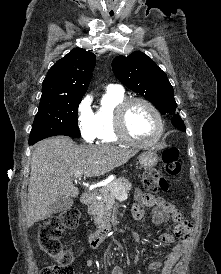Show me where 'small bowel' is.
<instances>
[{
	"label": "small bowel",
	"mask_w": 221,
	"mask_h": 274,
	"mask_svg": "<svg viewBox=\"0 0 221 274\" xmlns=\"http://www.w3.org/2000/svg\"><path fill=\"white\" fill-rule=\"evenodd\" d=\"M135 203L132 206L131 213L135 219H142L145 215L146 209H152V221L154 224L159 225L168 220H172L175 224L174 233H163L160 236V241L164 244H171L177 240L176 245L171 252L165 255L164 260L153 261L149 264V269L156 271L161 269L160 274H171L173 267L183 255L186 245L188 244L191 232L190 223L184 219L182 213L172 204L166 202L160 197H153L145 194L140 190H136ZM145 254V251L142 252ZM88 266L93 265L92 260L87 261ZM111 274H126L121 266L113 268Z\"/></svg>",
	"instance_id": "c3829d8e"
}]
</instances>
